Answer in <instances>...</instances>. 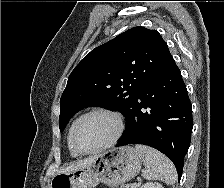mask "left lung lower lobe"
<instances>
[{"label":"left lung lower lobe","mask_w":224,"mask_h":188,"mask_svg":"<svg viewBox=\"0 0 224 188\" xmlns=\"http://www.w3.org/2000/svg\"><path fill=\"white\" fill-rule=\"evenodd\" d=\"M192 127L191 103L181 72L173 61L140 90L117 147L143 144L159 150L174 163L180 179Z\"/></svg>","instance_id":"1"}]
</instances>
